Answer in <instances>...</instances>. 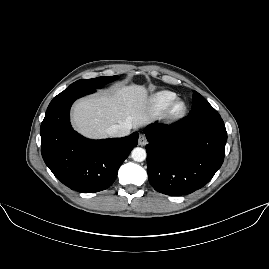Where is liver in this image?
I'll list each match as a JSON object with an SVG mask.
<instances>
[{
	"label": "liver",
	"mask_w": 269,
	"mask_h": 269,
	"mask_svg": "<svg viewBox=\"0 0 269 269\" xmlns=\"http://www.w3.org/2000/svg\"><path fill=\"white\" fill-rule=\"evenodd\" d=\"M145 100V91L139 86L115 88L106 95L81 100L73 109L75 127L93 137L104 136L117 123L137 127L147 119Z\"/></svg>",
	"instance_id": "obj_1"
}]
</instances>
